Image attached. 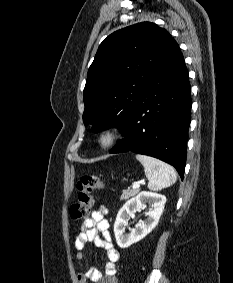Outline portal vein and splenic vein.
Here are the masks:
<instances>
[{"label": "portal vein and splenic vein", "mask_w": 233, "mask_h": 283, "mask_svg": "<svg viewBox=\"0 0 233 283\" xmlns=\"http://www.w3.org/2000/svg\"><path fill=\"white\" fill-rule=\"evenodd\" d=\"M141 184H145V182H144V180L143 181H141L140 183H135V184H133V189H138V188H140V185Z\"/></svg>", "instance_id": "1"}]
</instances>
